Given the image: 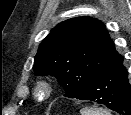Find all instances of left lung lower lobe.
I'll list each match as a JSON object with an SVG mask.
<instances>
[{"label":"left lung lower lobe","mask_w":131,"mask_h":115,"mask_svg":"<svg viewBox=\"0 0 131 115\" xmlns=\"http://www.w3.org/2000/svg\"><path fill=\"white\" fill-rule=\"evenodd\" d=\"M76 98L104 104L120 115H131V89L123 60L94 79Z\"/></svg>","instance_id":"0a47b994"}]
</instances>
